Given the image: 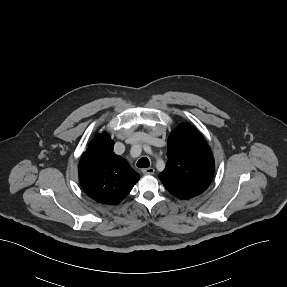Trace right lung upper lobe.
<instances>
[{
    "instance_id": "obj_1",
    "label": "right lung upper lobe",
    "mask_w": 287,
    "mask_h": 287,
    "mask_svg": "<svg viewBox=\"0 0 287 287\" xmlns=\"http://www.w3.org/2000/svg\"><path fill=\"white\" fill-rule=\"evenodd\" d=\"M113 147L114 142L103 132L92 140L79 162L83 190L104 204L120 203L140 178Z\"/></svg>"
}]
</instances>
